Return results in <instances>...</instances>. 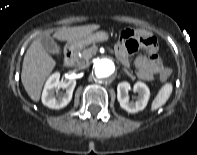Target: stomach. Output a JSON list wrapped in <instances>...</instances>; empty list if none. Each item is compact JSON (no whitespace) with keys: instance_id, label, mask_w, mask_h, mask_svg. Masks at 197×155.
Here are the masks:
<instances>
[{"instance_id":"1","label":"stomach","mask_w":197,"mask_h":155,"mask_svg":"<svg viewBox=\"0 0 197 155\" xmlns=\"http://www.w3.org/2000/svg\"><path fill=\"white\" fill-rule=\"evenodd\" d=\"M109 36L108 33L105 31H98L96 33H91L77 41H74L70 43L71 47L73 49H82L86 45H89L91 43L95 42H102L108 40Z\"/></svg>"}]
</instances>
